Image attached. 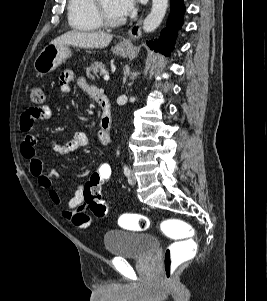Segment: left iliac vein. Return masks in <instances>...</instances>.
Returning a JSON list of instances; mask_svg holds the SVG:
<instances>
[{
  "mask_svg": "<svg viewBox=\"0 0 267 301\" xmlns=\"http://www.w3.org/2000/svg\"><path fill=\"white\" fill-rule=\"evenodd\" d=\"M128 181L131 185H135L136 184V177L134 175V173L132 172L128 178Z\"/></svg>",
  "mask_w": 267,
  "mask_h": 301,
  "instance_id": "4c4485c4",
  "label": "left iliac vein"
}]
</instances>
